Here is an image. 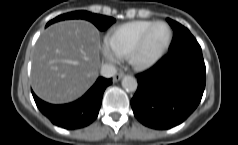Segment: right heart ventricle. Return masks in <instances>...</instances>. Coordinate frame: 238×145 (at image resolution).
Wrapping results in <instances>:
<instances>
[{
  "mask_svg": "<svg viewBox=\"0 0 238 145\" xmlns=\"http://www.w3.org/2000/svg\"><path fill=\"white\" fill-rule=\"evenodd\" d=\"M153 23V21L139 20L115 27L105 35L104 45L113 56L124 59Z\"/></svg>",
  "mask_w": 238,
  "mask_h": 145,
  "instance_id": "right-heart-ventricle-1",
  "label": "right heart ventricle"
}]
</instances>
